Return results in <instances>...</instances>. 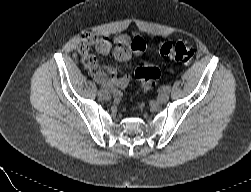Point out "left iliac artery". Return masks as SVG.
I'll list each match as a JSON object with an SVG mask.
<instances>
[{"label":"left iliac artery","instance_id":"1","mask_svg":"<svg viewBox=\"0 0 251 192\" xmlns=\"http://www.w3.org/2000/svg\"><path fill=\"white\" fill-rule=\"evenodd\" d=\"M163 90L166 92H170L171 91V86L170 85H166L163 87Z\"/></svg>","mask_w":251,"mask_h":192}]
</instances>
